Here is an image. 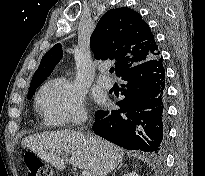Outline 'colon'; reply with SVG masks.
I'll use <instances>...</instances> for the list:
<instances>
[{
  "label": "colon",
  "instance_id": "obj_1",
  "mask_svg": "<svg viewBox=\"0 0 205 176\" xmlns=\"http://www.w3.org/2000/svg\"><path fill=\"white\" fill-rule=\"evenodd\" d=\"M23 160L27 167V176H52L50 166L45 164L35 153L26 151Z\"/></svg>",
  "mask_w": 205,
  "mask_h": 176
}]
</instances>
